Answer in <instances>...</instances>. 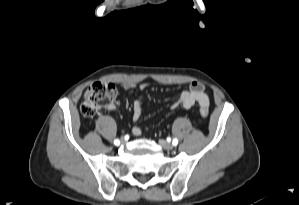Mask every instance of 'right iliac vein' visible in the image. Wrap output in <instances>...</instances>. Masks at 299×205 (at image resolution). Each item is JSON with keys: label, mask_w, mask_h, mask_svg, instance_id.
<instances>
[{"label": "right iliac vein", "mask_w": 299, "mask_h": 205, "mask_svg": "<svg viewBox=\"0 0 299 205\" xmlns=\"http://www.w3.org/2000/svg\"><path fill=\"white\" fill-rule=\"evenodd\" d=\"M121 142H122V143L124 142V139H123V138L121 139Z\"/></svg>", "instance_id": "1"}]
</instances>
